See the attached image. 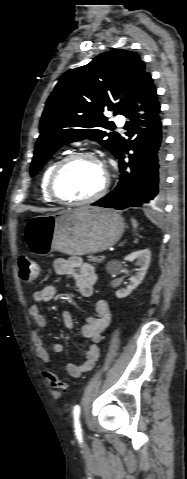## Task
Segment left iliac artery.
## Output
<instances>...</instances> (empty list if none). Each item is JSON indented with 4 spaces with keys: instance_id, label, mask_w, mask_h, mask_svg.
I'll use <instances>...</instances> for the list:
<instances>
[{
    "instance_id": "obj_1",
    "label": "left iliac artery",
    "mask_w": 187,
    "mask_h": 479,
    "mask_svg": "<svg viewBox=\"0 0 187 479\" xmlns=\"http://www.w3.org/2000/svg\"><path fill=\"white\" fill-rule=\"evenodd\" d=\"M79 415H80V406L76 405L73 408V417H74V427H75V433L78 439H81L82 434H81V425L79 422Z\"/></svg>"
}]
</instances>
